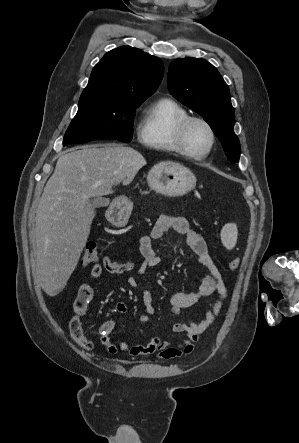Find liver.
<instances>
[{
  "mask_svg": "<svg viewBox=\"0 0 299 443\" xmlns=\"http://www.w3.org/2000/svg\"><path fill=\"white\" fill-rule=\"evenodd\" d=\"M144 165L142 154L122 145L82 147L58 159L35 219V274L47 295L60 293L77 266L96 214L90 198L131 181Z\"/></svg>",
  "mask_w": 299,
  "mask_h": 443,
  "instance_id": "6515ba94",
  "label": "liver"
}]
</instances>
